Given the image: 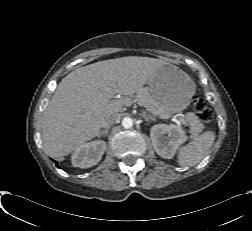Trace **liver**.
Listing matches in <instances>:
<instances>
[{"label": "liver", "instance_id": "1", "mask_svg": "<svg viewBox=\"0 0 252 231\" xmlns=\"http://www.w3.org/2000/svg\"><path fill=\"white\" fill-rule=\"evenodd\" d=\"M165 64L160 59L128 56L99 61L69 73L44 111L42 139L47 154L61 160L97 137L104 120L127 105L126 99H112L110 92L134 95Z\"/></svg>", "mask_w": 252, "mask_h": 231}]
</instances>
